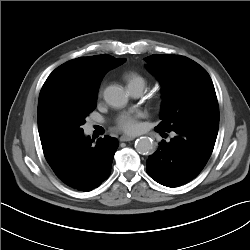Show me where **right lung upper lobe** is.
Segmentation results:
<instances>
[{"instance_id":"right-lung-upper-lobe-1","label":"right lung upper lobe","mask_w":250,"mask_h":250,"mask_svg":"<svg viewBox=\"0 0 250 250\" xmlns=\"http://www.w3.org/2000/svg\"><path fill=\"white\" fill-rule=\"evenodd\" d=\"M126 61L109 55L80 57L56 68L45 81L38 102L41 143L51 140L57 118L77 102L97 98L104 75Z\"/></svg>"}]
</instances>
